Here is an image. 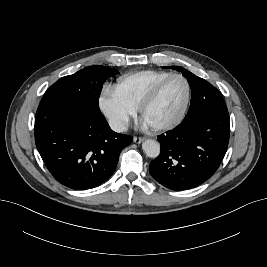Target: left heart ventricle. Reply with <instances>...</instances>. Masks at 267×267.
I'll list each match as a JSON object with an SVG mask.
<instances>
[{"mask_svg": "<svg viewBox=\"0 0 267 267\" xmlns=\"http://www.w3.org/2000/svg\"><path fill=\"white\" fill-rule=\"evenodd\" d=\"M186 95L184 82L179 78L168 81L157 99L146 109L144 121L149 125H160L173 120L180 112Z\"/></svg>", "mask_w": 267, "mask_h": 267, "instance_id": "1", "label": "left heart ventricle"}]
</instances>
